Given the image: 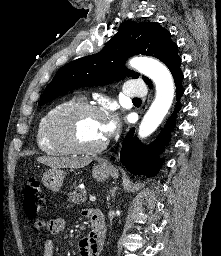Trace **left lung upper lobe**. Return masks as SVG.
I'll use <instances>...</instances> for the list:
<instances>
[{
    "label": "left lung upper lobe",
    "mask_w": 221,
    "mask_h": 256,
    "mask_svg": "<svg viewBox=\"0 0 221 256\" xmlns=\"http://www.w3.org/2000/svg\"><path fill=\"white\" fill-rule=\"evenodd\" d=\"M153 56L164 62L171 73L180 70L181 59L171 34L156 22H126L97 54L76 59L61 67L47 85L39 105L45 104L68 90L78 87L105 85L139 77L124 63L133 55ZM147 85L151 80L143 76Z\"/></svg>",
    "instance_id": "obj_1"
}]
</instances>
